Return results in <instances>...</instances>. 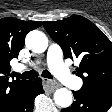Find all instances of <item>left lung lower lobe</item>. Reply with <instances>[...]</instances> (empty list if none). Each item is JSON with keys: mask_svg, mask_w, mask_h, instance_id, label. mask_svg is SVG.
<instances>
[{"mask_svg": "<svg viewBox=\"0 0 112 112\" xmlns=\"http://www.w3.org/2000/svg\"><path fill=\"white\" fill-rule=\"evenodd\" d=\"M75 101L61 112H107L112 105V95L73 91Z\"/></svg>", "mask_w": 112, "mask_h": 112, "instance_id": "obj_1", "label": "left lung lower lobe"}]
</instances>
